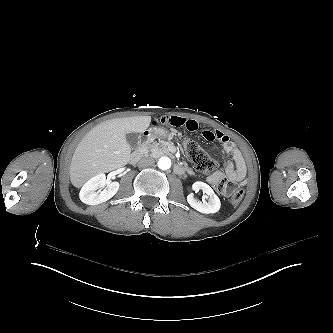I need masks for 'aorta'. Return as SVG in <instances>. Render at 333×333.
Masks as SVG:
<instances>
[{"instance_id": "aorta-1", "label": "aorta", "mask_w": 333, "mask_h": 333, "mask_svg": "<svg viewBox=\"0 0 333 333\" xmlns=\"http://www.w3.org/2000/svg\"><path fill=\"white\" fill-rule=\"evenodd\" d=\"M171 166V160L168 157H161L158 161V167L162 170H167Z\"/></svg>"}]
</instances>
